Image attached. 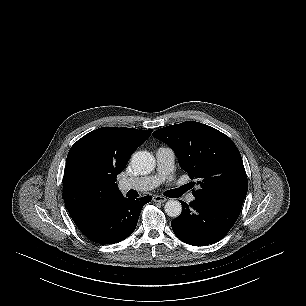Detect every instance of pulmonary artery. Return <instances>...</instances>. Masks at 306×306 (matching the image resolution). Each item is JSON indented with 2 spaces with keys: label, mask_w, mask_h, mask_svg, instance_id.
I'll list each match as a JSON object with an SVG mask.
<instances>
[{
  "label": "pulmonary artery",
  "mask_w": 306,
  "mask_h": 306,
  "mask_svg": "<svg viewBox=\"0 0 306 306\" xmlns=\"http://www.w3.org/2000/svg\"><path fill=\"white\" fill-rule=\"evenodd\" d=\"M175 161V153L169 147H160L156 151L157 171L155 174L122 179L118 187L121 191L136 190L147 191L157 187L172 170ZM193 194L187 196V201H194Z\"/></svg>",
  "instance_id": "e3ab8cb5"
}]
</instances>
